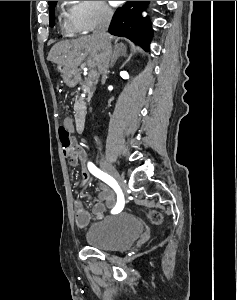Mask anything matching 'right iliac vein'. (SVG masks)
<instances>
[{
	"label": "right iliac vein",
	"instance_id": "1",
	"mask_svg": "<svg viewBox=\"0 0 237 300\" xmlns=\"http://www.w3.org/2000/svg\"><path fill=\"white\" fill-rule=\"evenodd\" d=\"M100 165L102 167L103 170H105L106 172H108L117 182V184L123 188L124 186V181L121 178L120 174L117 172V170L111 165V163L108 161V159L101 155L100 157Z\"/></svg>",
	"mask_w": 237,
	"mask_h": 300
}]
</instances>
